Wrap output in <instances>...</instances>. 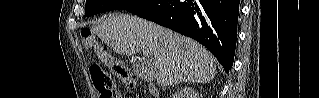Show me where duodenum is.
<instances>
[{"mask_svg":"<svg viewBox=\"0 0 319 98\" xmlns=\"http://www.w3.org/2000/svg\"><path fill=\"white\" fill-rule=\"evenodd\" d=\"M150 91L154 95V97L157 96V91L154 85H150Z\"/></svg>","mask_w":319,"mask_h":98,"instance_id":"1","label":"duodenum"}]
</instances>
